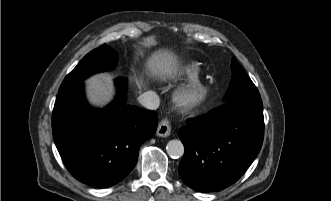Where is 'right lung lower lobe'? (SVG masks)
<instances>
[{
    "label": "right lung lower lobe",
    "instance_id": "98d812e1",
    "mask_svg": "<svg viewBox=\"0 0 331 201\" xmlns=\"http://www.w3.org/2000/svg\"><path fill=\"white\" fill-rule=\"evenodd\" d=\"M112 105L92 109L84 84L60 92L52 115L53 138L64 165L77 180L110 187L135 167L141 144L156 132L155 112L125 104V78Z\"/></svg>",
    "mask_w": 331,
    "mask_h": 201
}]
</instances>
